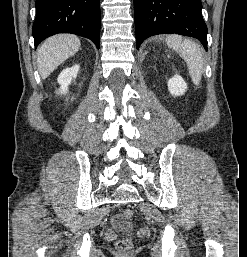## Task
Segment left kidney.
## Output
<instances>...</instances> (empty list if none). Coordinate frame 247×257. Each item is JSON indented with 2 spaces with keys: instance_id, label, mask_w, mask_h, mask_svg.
<instances>
[{
  "instance_id": "5707ae66",
  "label": "left kidney",
  "mask_w": 247,
  "mask_h": 257,
  "mask_svg": "<svg viewBox=\"0 0 247 257\" xmlns=\"http://www.w3.org/2000/svg\"><path fill=\"white\" fill-rule=\"evenodd\" d=\"M168 90L171 95L180 96L187 90V84L179 75H175L168 80Z\"/></svg>"
}]
</instances>
